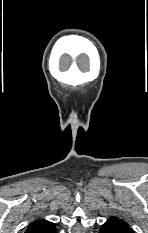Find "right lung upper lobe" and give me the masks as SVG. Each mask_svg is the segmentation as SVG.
I'll return each mask as SVG.
<instances>
[{"instance_id": "1", "label": "right lung upper lobe", "mask_w": 148, "mask_h": 233, "mask_svg": "<svg viewBox=\"0 0 148 233\" xmlns=\"http://www.w3.org/2000/svg\"><path fill=\"white\" fill-rule=\"evenodd\" d=\"M25 233H56V229L52 222L40 219L29 224Z\"/></svg>"}]
</instances>
